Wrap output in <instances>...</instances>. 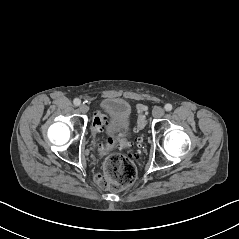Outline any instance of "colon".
Listing matches in <instances>:
<instances>
[{
	"mask_svg": "<svg viewBox=\"0 0 239 239\" xmlns=\"http://www.w3.org/2000/svg\"><path fill=\"white\" fill-rule=\"evenodd\" d=\"M139 118L136 124V130L144 128L146 122V107L143 104L137 106ZM107 116L97 111L93 119L94 131L102 130L107 124ZM136 178V167L131 159L119 154L113 153L106 157L102 172L98 174L97 181L100 186L112 191L122 190L131 185Z\"/></svg>",
	"mask_w": 239,
	"mask_h": 239,
	"instance_id": "colon-1",
	"label": "colon"
}]
</instances>
